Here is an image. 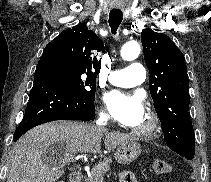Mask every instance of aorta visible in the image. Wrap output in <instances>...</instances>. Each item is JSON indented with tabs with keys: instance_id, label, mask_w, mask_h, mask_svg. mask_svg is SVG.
I'll return each mask as SVG.
<instances>
[{
	"instance_id": "aorta-1",
	"label": "aorta",
	"mask_w": 211,
	"mask_h": 182,
	"mask_svg": "<svg viewBox=\"0 0 211 182\" xmlns=\"http://www.w3.org/2000/svg\"><path fill=\"white\" fill-rule=\"evenodd\" d=\"M140 50V45L137 42L129 41L122 46L120 55L122 59L131 61L139 56Z\"/></svg>"
}]
</instances>
